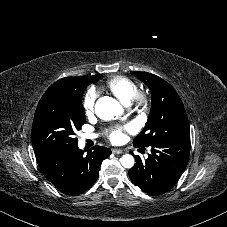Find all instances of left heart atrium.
<instances>
[{"label": "left heart atrium", "instance_id": "1", "mask_svg": "<svg viewBox=\"0 0 227 227\" xmlns=\"http://www.w3.org/2000/svg\"><path fill=\"white\" fill-rule=\"evenodd\" d=\"M126 131H129L128 127H125L122 129H117V130L113 131L112 133H110L109 139L113 143H120L124 140Z\"/></svg>", "mask_w": 227, "mask_h": 227}]
</instances>
